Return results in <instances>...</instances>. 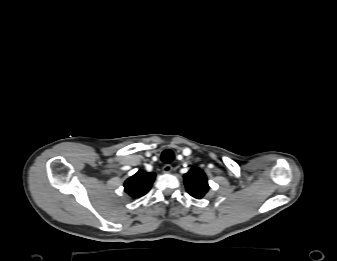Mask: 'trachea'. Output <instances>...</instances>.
I'll return each mask as SVG.
<instances>
[{
	"label": "trachea",
	"instance_id": "1",
	"mask_svg": "<svg viewBox=\"0 0 337 261\" xmlns=\"http://www.w3.org/2000/svg\"><path fill=\"white\" fill-rule=\"evenodd\" d=\"M161 159L164 163L168 164L174 160V153L170 149H166L162 152Z\"/></svg>",
	"mask_w": 337,
	"mask_h": 261
}]
</instances>
